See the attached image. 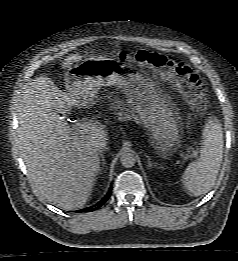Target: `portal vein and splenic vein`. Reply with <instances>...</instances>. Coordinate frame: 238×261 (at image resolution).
I'll use <instances>...</instances> for the list:
<instances>
[{
    "mask_svg": "<svg viewBox=\"0 0 238 261\" xmlns=\"http://www.w3.org/2000/svg\"><path fill=\"white\" fill-rule=\"evenodd\" d=\"M95 129V126L91 123H88V122H83V123H77L75 125V131L78 133V134H85V133H88L92 130ZM191 157H196V154H191L190 155Z\"/></svg>",
    "mask_w": 238,
    "mask_h": 261,
    "instance_id": "18ae733b",
    "label": "portal vein and splenic vein"
}]
</instances>
